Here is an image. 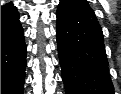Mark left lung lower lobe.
Listing matches in <instances>:
<instances>
[{"mask_svg":"<svg viewBox=\"0 0 121 94\" xmlns=\"http://www.w3.org/2000/svg\"><path fill=\"white\" fill-rule=\"evenodd\" d=\"M57 48L66 94H114L102 29L96 19L59 3Z\"/></svg>","mask_w":121,"mask_h":94,"instance_id":"obj_1","label":"left lung lower lobe"}]
</instances>
